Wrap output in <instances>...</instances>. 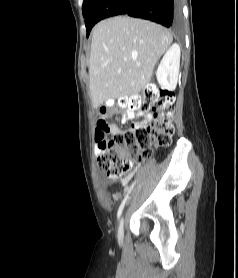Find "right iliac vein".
I'll list each match as a JSON object with an SVG mask.
<instances>
[{"instance_id":"obj_1","label":"right iliac vein","mask_w":238,"mask_h":278,"mask_svg":"<svg viewBox=\"0 0 238 278\" xmlns=\"http://www.w3.org/2000/svg\"><path fill=\"white\" fill-rule=\"evenodd\" d=\"M124 233V218L122 217L118 227V238L122 239Z\"/></svg>"}]
</instances>
